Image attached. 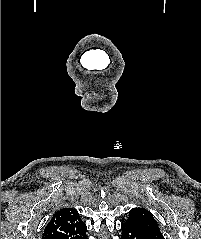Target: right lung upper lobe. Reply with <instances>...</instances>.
<instances>
[{"instance_id":"right-lung-upper-lobe-1","label":"right lung upper lobe","mask_w":201,"mask_h":239,"mask_svg":"<svg viewBox=\"0 0 201 239\" xmlns=\"http://www.w3.org/2000/svg\"><path fill=\"white\" fill-rule=\"evenodd\" d=\"M86 225L76 209L58 210L45 227L42 239H83Z\"/></svg>"}]
</instances>
